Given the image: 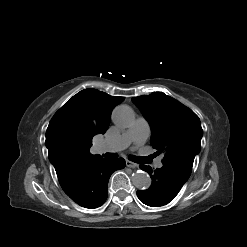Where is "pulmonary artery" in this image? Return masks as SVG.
Wrapping results in <instances>:
<instances>
[{
  "mask_svg": "<svg viewBox=\"0 0 247 247\" xmlns=\"http://www.w3.org/2000/svg\"><path fill=\"white\" fill-rule=\"evenodd\" d=\"M150 135L149 122L143 118H137L131 127L115 140L105 141L103 149L107 151H120L128 147L131 143L142 145ZM156 168H162L161 159L157 160Z\"/></svg>",
  "mask_w": 247,
  "mask_h": 247,
  "instance_id": "e3ab8cb5",
  "label": "pulmonary artery"
}]
</instances>
